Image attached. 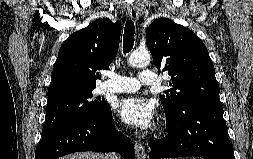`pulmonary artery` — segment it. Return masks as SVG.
<instances>
[{"label": "pulmonary artery", "instance_id": "e3ab8cb5", "mask_svg": "<svg viewBox=\"0 0 253 159\" xmlns=\"http://www.w3.org/2000/svg\"><path fill=\"white\" fill-rule=\"evenodd\" d=\"M109 80L101 85V93H128L137 91L141 86H151L156 83L155 74L149 69H142L139 78H132L117 74L115 72H106Z\"/></svg>", "mask_w": 253, "mask_h": 159}]
</instances>
